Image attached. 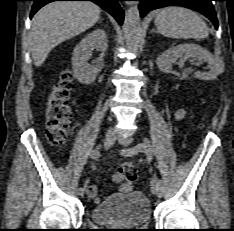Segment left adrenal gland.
<instances>
[{"mask_svg":"<svg viewBox=\"0 0 234 231\" xmlns=\"http://www.w3.org/2000/svg\"><path fill=\"white\" fill-rule=\"evenodd\" d=\"M151 32H156V33H158L155 29H152Z\"/></svg>","mask_w":234,"mask_h":231,"instance_id":"a2214340","label":"left adrenal gland"}]
</instances>
